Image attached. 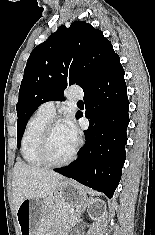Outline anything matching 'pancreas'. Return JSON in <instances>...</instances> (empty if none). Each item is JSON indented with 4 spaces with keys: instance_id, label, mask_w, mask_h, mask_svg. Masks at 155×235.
Masks as SVG:
<instances>
[{
    "instance_id": "cf45deb5",
    "label": "pancreas",
    "mask_w": 155,
    "mask_h": 235,
    "mask_svg": "<svg viewBox=\"0 0 155 235\" xmlns=\"http://www.w3.org/2000/svg\"><path fill=\"white\" fill-rule=\"evenodd\" d=\"M46 212L53 217L62 219L69 223H75L77 220V214L69 211V207L64 205L62 202L53 201L52 199H46Z\"/></svg>"
}]
</instances>
